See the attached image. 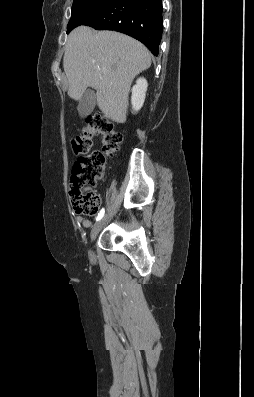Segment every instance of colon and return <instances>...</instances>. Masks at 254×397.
Returning a JSON list of instances; mask_svg holds the SVG:
<instances>
[{
  "instance_id": "5ec220e1",
  "label": "colon",
  "mask_w": 254,
  "mask_h": 397,
  "mask_svg": "<svg viewBox=\"0 0 254 397\" xmlns=\"http://www.w3.org/2000/svg\"><path fill=\"white\" fill-rule=\"evenodd\" d=\"M102 137V148L90 152L93 137ZM122 135L114 123L103 114L87 118L81 132L73 137L71 144L78 156L70 177V196L73 209L80 215H94L100 206V197L95 191L96 184L106 169L107 160L120 148Z\"/></svg>"
}]
</instances>
